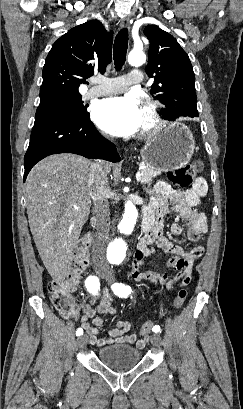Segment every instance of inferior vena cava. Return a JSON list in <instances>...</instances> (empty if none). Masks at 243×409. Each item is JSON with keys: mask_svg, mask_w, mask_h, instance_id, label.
<instances>
[{"mask_svg": "<svg viewBox=\"0 0 243 409\" xmlns=\"http://www.w3.org/2000/svg\"><path fill=\"white\" fill-rule=\"evenodd\" d=\"M89 191L90 197L93 199L97 219V232L92 246V258L97 268L108 270L109 266L105 257V250L109 241L110 232V210L108 201L110 189L107 173L98 162L91 164Z\"/></svg>", "mask_w": 243, "mask_h": 409, "instance_id": "1", "label": "inferior vena cava"}]
</instances>
